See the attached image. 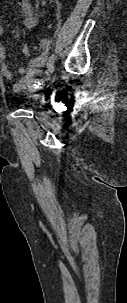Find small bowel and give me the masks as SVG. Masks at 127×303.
I'll return each mask as SVG.
<instances>
[{
	"label": "small bowel",
	"mask_w": 127,
	"mask_h": 303,
	"mask_svg": "<svg viewBox=\"0 0 127 303\" xmlns=\"http://www.w3.org/2000/svg\"><path fill=\"white\" fill-rule=\"evenodd\" d=\"M17 4L23 15V24L26 28L31 29L37 25V17L35 16L33 6L30 0H17ZM5 32V28L0 22V38ZM42 53L37 57L31 58L26 66H20L18 73L20 78L12 84L14 92H22L25 90H33L40 85L41 80L38 76L41 74V69L47 65L48 56L51 49V41L48 38H42L39 41ZM22 53L29 56V48L22 47ZM0 71L6 80L13 79V73L6 63V51L0 42Z\"/></svg>",
	"instance_id": "c3829d8e"
}]
</instances>
